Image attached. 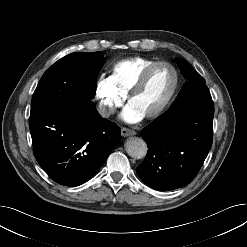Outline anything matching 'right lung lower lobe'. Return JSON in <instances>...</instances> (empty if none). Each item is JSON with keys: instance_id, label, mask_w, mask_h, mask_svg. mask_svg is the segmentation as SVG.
<instances>
[{"instance_id": "right-lung-lower-lobe-1", "label": "right lung lower lobe", "mask_w": 247, "mask_h": 247, "mask_svg": "<svg viewBox=\"0 0 247 247\" xmlns=\"http://www.w3.org/2000/svg\"><path fill=\"white\" fill-rule=\"evenodd\" d=\"M33 153L55 182L79 186L91 179L120 141V128L96 108L52 101L30 112Z\"/></svg>"}]
</instances>
